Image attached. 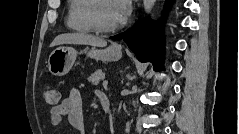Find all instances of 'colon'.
Returning a JSON list of instances; mask_svg holds the SVG:
<instances>
[{
  "label": "colon",
  "mask_w": 239,
  "mask_h": 134,
  "mask_svg": "<svg viewBox=\"0 0 239 134\" xmlns=\"http://www.w3.org/2000/svg\"><path fill=\"white\" fill-rule=\"evenodd\" d=\"M43 97L45 102L51 106H56L60 98L58 90L52 87H45L43 89Z\"/></svg>",
  "instance_id": "colon-1"
}]
</instances>
